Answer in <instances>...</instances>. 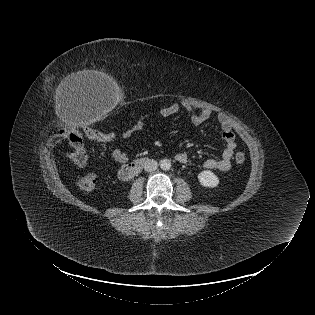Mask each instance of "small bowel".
Instances as JSON below:
<instances>
[{
    "instance_id": "obj_1",
    "label": "small bowel",
    "mask_w": 315,
    "mask_h": 315,
    "mask_svg": "<svg viewBox=\"0 0 315 315\" xmlns=\"http://www.w3.org/2000/svg\"><path fill=\"white\" fill-rule=\"evenodd\" d=\"M181 106L188 112L191 121L196 125L205 122L213 116L212 110L192 106L185 102L182 103V105L174 103L166 106L159 111V114L162 117L172 116L179 112ZM147 119V116L140 117L130 128L121 133V140L128 139L135 133L142 131ZM217 121L222 130L224 150L220 159L209 158L205 160L204 167L210 170L228 171L232 166V159L236 149L235 134L233 132L231 119L228 115L219 113L217 115ZM111 155L114 161L120 164H124L129 160V156L123 147L114 149ZM175 158L178 162L185 163L187 161V154L185 152H179L175 155Z\"/></svg>"
}]
</instances>
